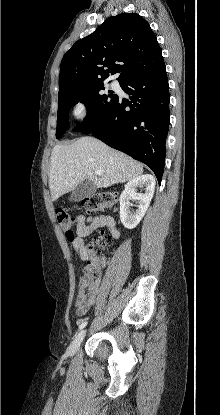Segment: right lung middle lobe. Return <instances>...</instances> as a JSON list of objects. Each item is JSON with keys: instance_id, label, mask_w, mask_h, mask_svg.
<instances>
[{"instance_id": "obj_1", "label": "right lung middle lobe", "mask_w": 220, "mask_h": 415, "mask_svg": "<svg viewBox=\"0 0 220 415\" xmlns=\"http://www.w3.org/2000/svg\"><path fill=\"white\" fill-rule=\"evenodd\" d=\"M103 83L95 85H78L58 94L57 139L68 129V114L72 105L82 102L86 105L88 116L80 130L92 131L98 128L108 117L117 95L112 91L102 94ZM79 130V129H77Z\"/></svg>"}]
</instances>
